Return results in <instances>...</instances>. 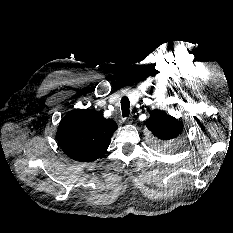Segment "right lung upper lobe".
I'll list each match as a JSON object with an SVG mask.
<instances>
[{
  "label": "right lung upper lobe",
  "instance_id": "obj_1",
  "mask_svg": "<svg viewBox=\"0 0 233 233\" xmlns=\"http://www.w3.org/2000/svg\"><path fill=\"white\" fill-rule=\"evenodd\" d=\"M117 129L112 119L93 109H76L60 122L56 133L65 154L74 160L91 162L104 155Z\"/></svg>",
  "mask_w": 233,
  "mask_h": 233
}]
</instances>
